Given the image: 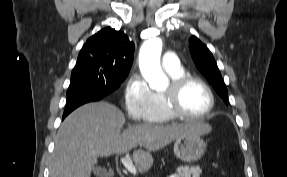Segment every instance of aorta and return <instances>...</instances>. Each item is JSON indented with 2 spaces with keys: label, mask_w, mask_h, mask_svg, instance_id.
Listing matches in <instances>:
<instances>
[{
  "label": "aorta",
  "mask_w": 287,
  "mask_h": 177,
  "mask_svg": "<svg viewBox=\"0 0 287 177\" xmlns=\"http://www.w3.org/2000/svg\"><path fill=\"white\" fill-rule=\"evenodd\" d=\"M161 51L162 41L155 37L147 40L139 53L140 71L153 90H162L168 84V79L160 66Z\"/></svg>",
  "instance_id": "obj_1"
}]
</instances>
